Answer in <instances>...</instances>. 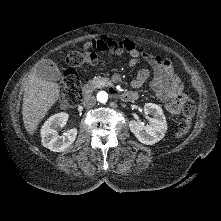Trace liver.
<instances>
[{"mask_svg":"<svg viewBox=\"0 0 221 221\" xmlns=\"http://www.w3.org/2000/svg\"><path fill=\"white\" fill-rule=\"evenodd\" d=\"M60 98V86L37 76L32 71L25 82L22 105L23 122L26 131L33 135L40 121Z\"/></svg>","mask_w":221,"mask_h":221,"instance_id":"obj_1","label":"liver"}]
</instances>
